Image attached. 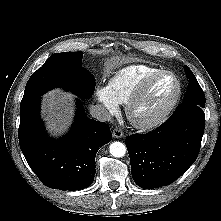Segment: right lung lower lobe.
<instances>
[{"mask_svg":"<svg viewBox=\"0 0 221 221\" xmlns=\"http://www.w3.org/2000/svg\"><path fill=\"white\" fill-rule=\"evenodd\" d=\"M40 97L20 109V148L34 173L49 188L75 191L88 187L95 175L97 151L112 139L109 126L86 117L82 107L70 132L51 140L39 117Z\"/></svg>","mask_w":221,"mask_h":221,"instance_id":"obj_1","label":"right lung lower lobe"}]
</instances>
